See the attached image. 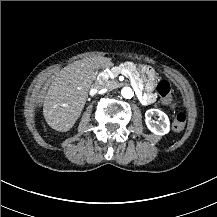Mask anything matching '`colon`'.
Wrapping results in <instances>:
<instances>
[{"label": "colon", "instance_id": "5ec220e1", "mask_svg": "<svg viewBox=\"0 0 217 217\" xmlns=\"http://www.w3.org/2000/svg\"><path fill=\"white\" fill-rule=\"evenodd\" d=\"M157 93L159 94L162 102L170 107L175 108L173 100L171 98L172 87L171 83L167 80H160L157 84ZM186 114L183 111H179L173 118V129L175 131H182L186 124Z\"/></svg>", "mask_w": 217, "mask_h": 217}]
</instances>
